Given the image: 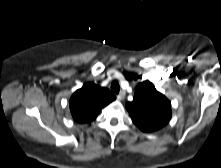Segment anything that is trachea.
<instances>
[{
  "instance_id": "obj_1",
  "label": "trachea",
  "mask_w": 221,
  "mask_h": 168,
  "mask_svg": "<svg viewBox=\"0 0 221 168\" xmlns=\"http://www.w3.org/2000/svg\"><path fill=\"white\" fill-rule=\"evenodd\" d=\"M111 90H112L114 93H116V94L119 93V91H120V85H119V83H118L117 81H113V82H112V84H111Z\"/></svg>"
}]
</instances>
